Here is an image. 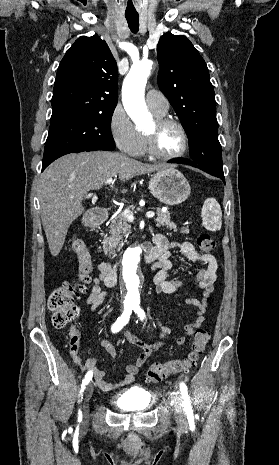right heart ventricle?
<instances>
[{
    "mask_svg": "<svg viewBox=\"0 0 279 465\" xmlns=\"http://www.w3.org/2000/svg\"><path fill=\"white\" fill-rule=\"evenodd\" d=\"M152 112L154 113L156 117H163L165 115V113H158L153 110ZM145 154H147L145 136H144V133L139 132L137 135V144H136L135 150L132 153V155L143 156Z\"/></svg>",
    "mask_w": 279,
    "mask_h": 465,
    "instance_id": "right-heart-ventricle-1",
    "label": "right heart ventricle"
}]
</instances>
